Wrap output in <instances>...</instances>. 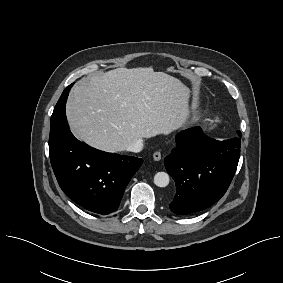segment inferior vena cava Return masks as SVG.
I'll use <instances>...</instances> for the list:
<instances>
[{"instance_id":"602c4592","label":"inferior vena cava","mask_w":283,"mask_h":283,"mask_svg":"<svg viewBox=\"0 0 283 283\" xmlns=\"http://www.w3.org/2000/svg\"><path fill=\"white\" fill-rule=\"evenodd\" d=\"M143 148V140H135L131 142L127 147L126 150L130 152H140Z\"/></svg>"}]
</instances>
